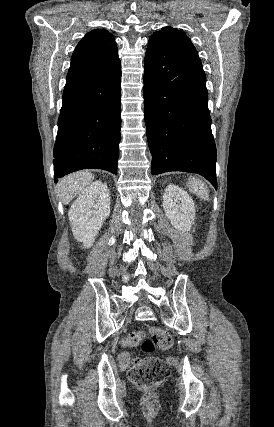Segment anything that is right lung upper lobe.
Masks as SVG:
<instances>
[{
  "label": "right lung upper lobe",
  "mask_w": 274,
  "mask_h": 427,
  "mask_svg": "<svg viewBox=\"0 0 274 427\" xmlns=\"http://www.w3.org/2000/svg\"><path fill=\"white\" fill-rule=\"evenodd\" d=\"M120 62L114 36L105 29L88 32L71 57L67 82L91 77Z\"/></svg>",
  "instance_id": "right-lung-upper-lobe-1"
}]
</instances>
